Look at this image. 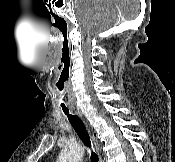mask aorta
<instances>
[{
	"mask_svg": "<svg viewBox=\"0 0 175 162\" xmlns=\"http://www.w3.org/2000/svg\"><path fill=\"white\" fill-rule=\"evenodd\" d=\"M84 154V148L77 142H70L61 151L58 157V162H81Z\"/></svg>",
	"mask_w": 175,
	"mask_h": 162,
	"instance_id": "obj_1",
	"label": "aorta"
}]
</instances>
